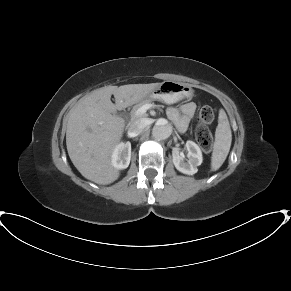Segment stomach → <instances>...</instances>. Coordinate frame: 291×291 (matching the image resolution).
Wrapping results in <instances>:
<instances>
[{
	"label": "stomach",
	"instance_id": "1",
	"mask_svg": "<svg viewBox=\"0 0 291 291\" xmlns=\"http://www.w3.org/2000/svg\"><path fill=\"white\" fill-rule=\"evenodd\" d=\"M193 90L190 86L174 81H164L158 84L149 94L151 98H159L166 103H173L177 100L190 97Z\"/></svg>",
	"mask_w": 291,
	"mask_h": 291
}]
</instances>
